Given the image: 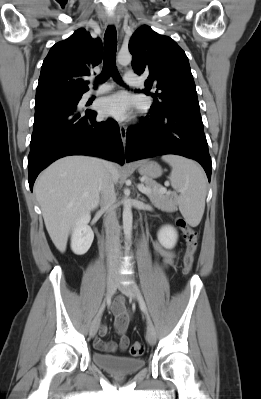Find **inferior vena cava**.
Masks as SVG:
<instances>
[{"mask_svg":"<svg viewBox=\"0 0 261 399\" xmlns=\"http://www.w3.org/2000/svg\"><path fill=\"white\" fill-rule=\"evenodd\" d=\"M101 206L106 211L104 226L106 230V250L108 269L117 271L120 266V229L116 215V195L114 181L106 171L101 182Z\"/></svg>","mask_w":261,"mask_h":399,"instance_id":"inferior-vena-cava-1","label":"inferior vena cava"}]
</instances>
